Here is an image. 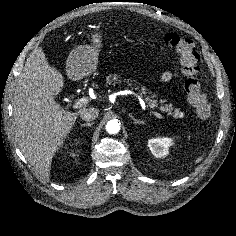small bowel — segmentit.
<instances>
[{
    "label": "small bowel",
    "mask_w": 236,
    "mask_h": 236,
    "mask_svg": "<svg viewBox=\"0 0 236 236\" xmlns=\"http://www.w3.org/2000/svg\"><path fill=\"white\" fill-rule=\"evenodd\" d=\"M172 78V73L171 72H166L162 75L161 80L162 81H168Z\"/></svg>",
    "instance_id": "c3829d8e"
}]
</instances>
